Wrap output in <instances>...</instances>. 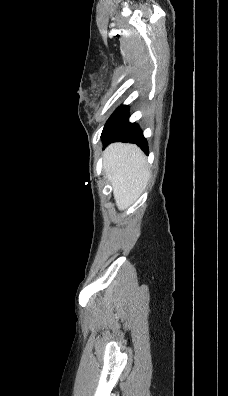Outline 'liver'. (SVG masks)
I'll return each mask as SVG.
<instances>
[{"label":"liver","instance_id":"1","mask_svg":"<svg viewBox=\"0 0 228 396\" xmlns=\"http://www.w3.org/2000/svg\"><path fill=\"white\" fill-rule=\"evenodd\" d=\"M103 168L119 210L127 209L141 196L150 177L146 156L134 144L109 145L104 151Z\"/></svg>","mask_w":228,"mask_h":396}]
</instances>
